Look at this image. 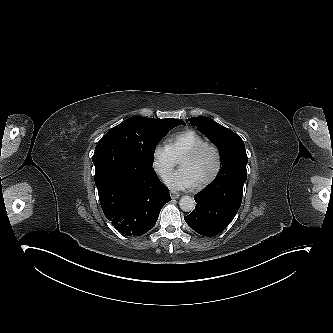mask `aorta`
<instances>
[{"instance_id": "aorta-1", "label": "aorta", "mask_w": 333, "mask_h": 333, "mask_svg": "<svg viewBox=\"0 0 333 333\" xmlns=\"http://www.w3.org/2000/svg\"><path fill=\"white\" fill-rule=\"evenodd\" d=\"M180 208L185 212H190L195 208V200L190 196H183L179 201Z\"/></svg>"}]
</instances>
